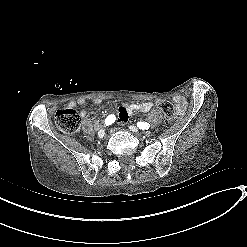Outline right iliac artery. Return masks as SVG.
Listing matches in <instances>:
<instances>
[{
	"label": "right iliac artery",
	"instance_id": "1",
	"mask_svg": "<svg viewBox=\"0 0 247 247\" xmlns=\"http://www.w3.org/2000/svg\"><path fill=\"white\" fill-rule=\"evenodd\" d=\"M116 120L115 115H109L106 119H105V125H111L112 123H114Z\"/></svg>",
	"mask_w": 247,
	"mask_h": 247
}]
</instances>
